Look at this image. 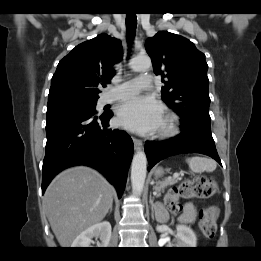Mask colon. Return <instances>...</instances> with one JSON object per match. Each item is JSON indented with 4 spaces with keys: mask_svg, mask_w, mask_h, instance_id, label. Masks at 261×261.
I'll return each instance as SVG.
<instances>
[{
    "mask_svg": "<svg viewBox=\"0 0 261 261\" xmlns=\"http://www.w3.org/2000/svg\"><path fill=\"white\" fill-rule=\"evenodd\" d=\"M217 185L213 179L200 176L187 179L178 186L170 189L163 202L165 207L173 214L182 210V199H208L216 194ZM216 209L209 206L203 209L199 215V224L205 239H212L216 233Z\"/></svg>",
    "mask_w": 261,
    "mask_h": 261,
    "instance_id": "1",
    "label": "colon"
}]
</instances>
